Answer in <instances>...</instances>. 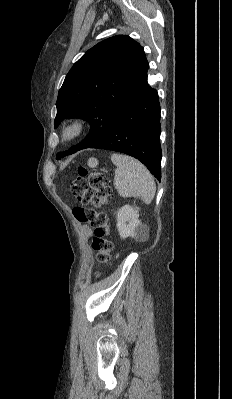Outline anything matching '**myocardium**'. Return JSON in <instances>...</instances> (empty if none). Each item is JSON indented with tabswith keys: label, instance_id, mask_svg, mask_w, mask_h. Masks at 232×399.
<instances>
[{
	"label": "myocardium",
	"instance_id": "myocardium-1",
	"mask_svg": "<svg viewBox=\"0 0 232 399\" xmlns=\"http://www.w3.org/2000/svg\"><path fill=\"white\" fill-rule=\"evenodd\" d=\"M86 129V122L80 117H75L65 123L60 132L63 142H72L79 138Z\"/></svg>",
	"mask_w": 232,
	"mask_h": 399
}]
</instances>
